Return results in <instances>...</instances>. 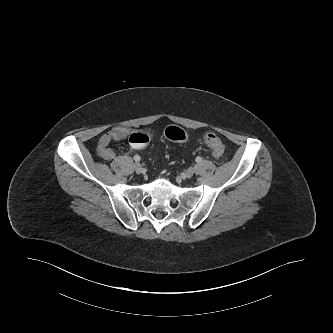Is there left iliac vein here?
I'll use <instances>...</instances> for the list:
<instances>
[{"instance_id": "1", "label": "left iliac vein", "mask_w": 333, "mask_h": 333, "mask_svg": "<svg viewBox=\"0 0 333 333\" xmlns=\"http://www.w3.org/2000/svg\"><path fill=\"white\" fill-rule=\"evenodd\" d=\"M195 173V169L193 167H190L186 170V177L191 178Z\"/></svg>"}]
</instances>
